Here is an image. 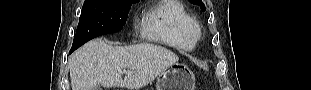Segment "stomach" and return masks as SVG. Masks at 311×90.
Segmentation results:
<instances>
[{
  "label": "stomach",
  "mask_w": 311,
  "mask_h": 90,
  "mask_svg": "<svg viewBox=\"0 0 311 90\" xmlns=\"http://www.w3.org/2000/svg\"><path fill=\"white\" fill-rule=\"evenodd\" d=\"M195 76L184 64L175 63L157 78L156 90H194Z\"/></svg>",
  "instance_id": "1"
}]
</instances>
